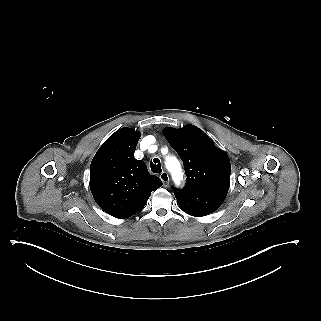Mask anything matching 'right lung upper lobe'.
<instances>
[{
    "label": "right lung upper lobe",
    "mask_w": 321,
    "mask_h": 321,
    "mask_svg": "<svg viewBox=\"0 0 321 321\" xmlns=\"http://www.w3.org/2000/svg\"><path fill=\"white\" fill-rule=\"evenodd\" d=\"M140 133L122 128L111 135L90 165V189L97 204L116 218L139 212L162 181L134 158Z\"/></svg>",
    "instance_id": "right-lung-upper-lobe-1"
}]
</instances>
